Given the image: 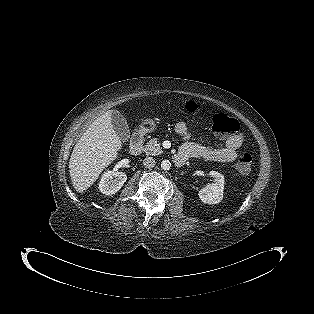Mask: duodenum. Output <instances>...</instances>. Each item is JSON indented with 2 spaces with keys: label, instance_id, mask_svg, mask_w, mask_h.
I'll return each instance as SVG.
<instances>
[{
  "label": "duodenum",
  "instance_id": "410a0bca",
  "mask_svg": "<svg viewBox=\"0 0 314 314\" xmlns=\"http://www.w3.org/2000/svg\"><path fill=\"white\" fill-rule=\"evenodd\" d=\"M144 142H145V137L142 132L134 133L131 140L130 153L132 155H139L143 150ZM185 161L186 160L181 155H177L175 157V163L178 166H182L185 163Z\"/></svg>",
  "mask_w": 314,
  "mask_h": 314
}]
</instances>
